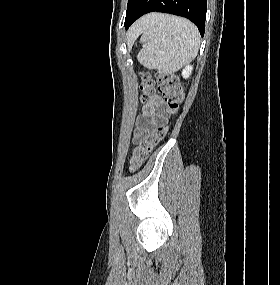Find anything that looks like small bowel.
Returning <instances> with one entry per match:
<instances>
[{
	"label": "small bowel",
	"instance_id": "obj_1",
	"mask_svg": "<svg viewBox=\"0 0 280 285\" xmlns=\"http://www.w3.org/2000/svg\"><path fill=\"white\" fill-rule=\"evenodd\" d=\"M168 110L164 106V101L160 95H154L142 109V115L139 119L135 132V139H140L158 120L165 119Z\"/></svg>",
	"mask_w": 280,
	"mask_h": 285
}]
</instances>
